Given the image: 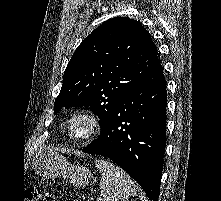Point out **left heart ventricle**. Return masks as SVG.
<instances>
[{"mask_svg":"<svg viewBox=\"0 0 221 201\" xmlns=\"http://www.w3.org/2000/svg\"><path fill=\"white\" fill-rule=\"evenodd\" d=\"M87 124L84 121H77L73 125V133L76 136H81L86 132Z\"/></svg>","mask_w":221,"mask_h":201,"instance_id":"obj_1","label":"left heart ventricle"}]
</instances>
